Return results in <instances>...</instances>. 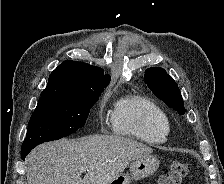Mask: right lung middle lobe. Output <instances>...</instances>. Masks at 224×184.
Returning <instances> with one entry per match:
<instances>
[{
	"mask_svg": "<svg viewBox=\"0 0 224 184\" xmlns=\"http://www.w3.org/2000/svg\"><path fill=\"white\" fill-rule=\"evenodd\" d=\"M101 91L77 96H41L22 148L58 140L83 127Z\"/></svg>",
	"mask_w": 224,
	"mask_h": 184,
	"instance_id": "right-lung-middle-lobe-1",
	"label": "right lung middle lobe"
}]
</instances>
